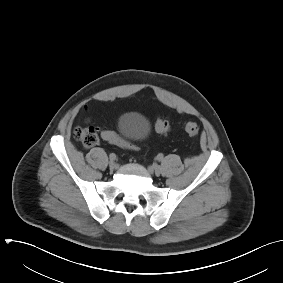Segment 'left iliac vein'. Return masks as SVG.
Returning <instances> with one entry per match:
<instances>
[{
    "label": "left iliac vein",
    "mask_w": 283,
    "mask_h": 283,
    "mask_svg": "<svg viewBox=\"0 0 283 283\" xmlns=\"http://www.w3.org/2000/svg\"><path fill=\"white\" fill-rule=\"evenodd\" d=\"M150 171L153 172L156 176H159L162 172V169L160 166L158 165H152L150 166Z\"/></svg>",
    "instance_id": "obj_1"
}]
</instances>
